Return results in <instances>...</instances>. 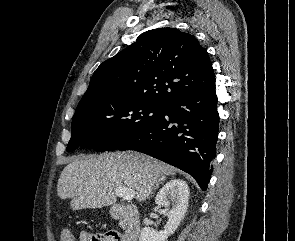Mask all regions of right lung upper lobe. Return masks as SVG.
Segmentation results:
<instances>
[{
	"mask_svg": "<svg viewBox=\"0 0 295 241\" xmlns=\"http://www.w3.org/2000/svg\"><path fill=\"white\" fill-rule=\"evenodd\" d=\"M214 81L208 53L194 36L158 28L142 33L135 43L103 62L82 99L112 94L163 106Z\"/></svg>",
	"mask_w": 295,
	"mask_h": 241,
	"instance_id": "1",
	"label": "right lung upper lobe"
}]
</instances>
